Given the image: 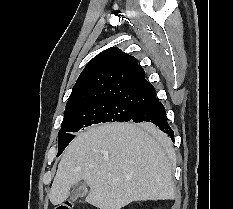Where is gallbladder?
<instances>
[{
	"label": "gallbladder",
	"instance_id": "gallbladder-1",
	"mask_svg": "<svg viewBox=\"0 0 233 209\" xmlns=\"http://www.w3.org/2000/svg\"><path fill=\"white\" fill-rule=\"evenodd\" d=\"M86 194H87L86 184L80 182L73 186L69 195V199L70 201H75L77 200V198L84 197Z\"/></svg>",
	"mask_w": 233,
	"mask_h": 209
}]
</instances>
